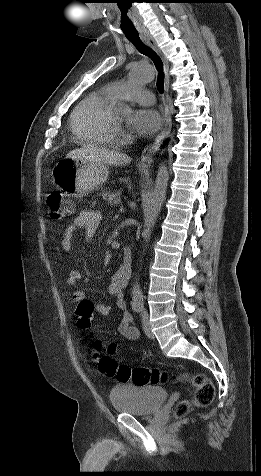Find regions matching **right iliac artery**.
Returning <instances> with one entry per match:
<instances>
[{
	"instance_id": "82829eb1",
	"label": "right iliac artery",
	"mask_w": 261,
	"mask_h": 476,
	"mask_svg": "<svg viewBox=\"0 0 261 476\" xmlns=\"http://www.w3.org/2000/svg\"><path fill=\"white\" fill-rule=\"evenodd\" d=\"M142 305H134L133 306V310L136 311V312H140L142 310Z\"/></svg>"
}]
</instances>
